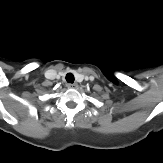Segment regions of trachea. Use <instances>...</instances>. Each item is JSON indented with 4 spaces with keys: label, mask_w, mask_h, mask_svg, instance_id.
Listing matches in <instances>:
<instances>
[{
    "label": "trachea",
    "mask_w": 163,
    "mask_h": 163,
    "mask_svg": "<svg viewBox=\"0 0 163 163\" xmlns=\"http://www.w3.org/2000/svg\"><path fill=\"white\" fill-rule=\"evenodd\" d=\"M74 80H75V78H74V75H73L72 73H68V74L66 75V81H67L68 83H73Z\"/></svg>",
    "instance_id": "1"
}]
</instances>
